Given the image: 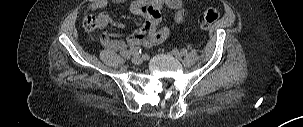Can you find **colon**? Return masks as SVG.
Here are the masks:
<instances>
[{
	"label": "colon",
	"mask_w": 303,
	"mask_h": 127,
	"mask_svg": "<svg viewBox=\"0 0 303 127\" xmlns=\"http://www.w3.org/2000/svg\"><path fill=\"white\" fill-rule=\"evenodd\" d=\"M220 16V12L217 8L211 7L204 11L201 18V27L206 29L211 26ZM84 27L91 34V36L96 37L98 32V22L96 18L87 14L83 20Z\"/></svg>",
	"instance_id": "obj_1"
}]
</instances>
